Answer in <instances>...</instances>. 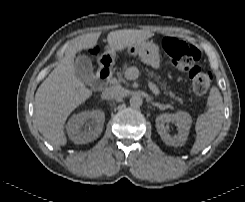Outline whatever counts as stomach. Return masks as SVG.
I'll return each mask as SVG.
<instances>
[{
	"mask_svg": "<svg viewBox=\"0 0 245 202\" xmlns=\"http://www.w3.org/2000/svg\"><path fill=\"white\" fill-rule=\"evenodd\" d=\"M130 55H138L142 62L153 69H160L161 58L158 46L152 41H144L127 48Z\"/></svg>",
	"mask_w": 245,
	"mask_h": 202,
	"instance_id": "1",
	"label": "stomach"
}]
</instances>
